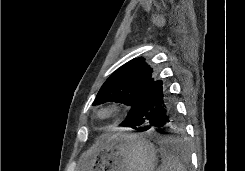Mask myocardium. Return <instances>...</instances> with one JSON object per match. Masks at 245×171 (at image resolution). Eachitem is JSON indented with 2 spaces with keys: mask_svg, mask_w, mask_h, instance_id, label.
<instances>
[{
  "mask_svg": "<svg viewBox=\"0 0 245 171\" xmlns=\"http://www.w3.org/2000/svg\"><path fill=\"white\" fill-rule=\"evenodd\" d=\"M119 111V108L114 105H107L99 109L98 111V117L101 119H110L114 117Z\"/></svg>",
  "mask_w": 245,
  "mask_h": 171,
  "instance_id": "myocardium-1",
  "label": "myocardium"
}]
</instances>
